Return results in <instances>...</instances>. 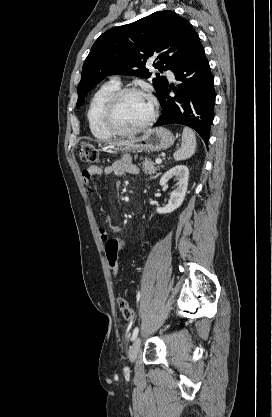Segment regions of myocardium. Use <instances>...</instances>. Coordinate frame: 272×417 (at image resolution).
I'll return each instance as SVG.
<instances>
[{
  "label": "myocardium",
  "mask_w": 272,
  "mask_h": 417,
  "mask_svg": "<svg viewBox=\"0 0 272 417\" xmlns=\"http://www.w3.org/2000/svg\"><path fill=\"white\" fill-rule=\"evenodd\" d=\"M129 95H140L145 97L151 104V115L150 117L141 125L132 128V129H121L116 126L114 118L116 110L121 103V101ZM158 111L154 99L147 92L136 88V87H126L120 88L116 91L107 101L104 111H103V124L104 127L112 134L118 136H129L137 134L144 131L150 127L157 117Z\"/></svg>",
  "instance_id": "myocardium-1"
}]
</instances>
